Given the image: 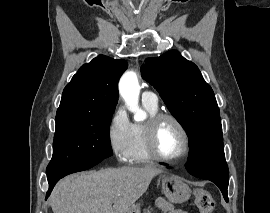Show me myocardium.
<instances>
[{
	"label": "myocardium",
	"mask_w": 270,
	"mask_h": 213,
	"mask_svg": "<svg viewBox=\"0 0 270 213\" xmlns=\"http://www.w3.org/2000/svg\"><path fill=\"white\" fill-rule=\"evenodd\" d=\"M170 120L176 124V126L181 131L184 138V149L183 152L176 157H167L161 154L157 148L156 137L159 126L163 121ZM145 143L146 148L150 154V156L159 161L167 162V163H175L184 160L190 153V137L189 133L181 122L179 118L170 113H156L152 115L148 121L145 123Z\"/></svg>",
	"instance_id": "1"
}]
</instances>
